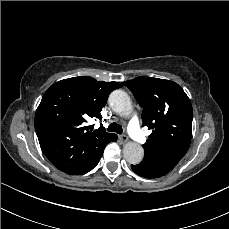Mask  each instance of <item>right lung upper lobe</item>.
Wrapping results in <instances>:
<instances>
[{
  "label": "right lung upper lobe",
  "instance_id": "right-lung-upper-lobe-1",
  "mask_svg": "<svg viewBox=\"0 0 229 229\" xmlns=\"http://www.w3.org/2000/svg\"><path fill=\"white\" fill-rule=\"evenodd\" d=\"M123 85L81 76L64 79L45 92L35 114L40 147L59 170L73 174L91 161L115 134L86 126L89 118L101 119L109 94Z\"/></svg>",
  "mask_w": 229,
  "mask_h": 229
}]
</instances>
